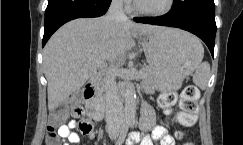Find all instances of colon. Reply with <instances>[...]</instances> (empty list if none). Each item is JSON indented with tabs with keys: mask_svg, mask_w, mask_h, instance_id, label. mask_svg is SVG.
<instances>
[{
	"mask_svg": "<svg viewBox=\"0 0 243 145\" xmlns=\"http://www.w3.org/2000/svg\"><path fill=\"white\" fill-rule=\"evenodd\" d=\"M199 98V90L193 85H189L183 89L180 95V111L175 116V122L184 127H190L196 122L197 101ZM176 101V95L168 92L161 95L159 99L160 106L170 113ZM83 108L79 105L76 95H70L65 102L59 104L50 115L49 125L46 132V145H61L58 138V127L62 121L72 114L75 118L83 115ZM79 130L83 134H87L92 130V123L88 120H81ZM178 138H183L184 133L178 132ZM183 145H193L186 143Z\"/></svg>",
	"mask_w": 243,
	"mask_h": 145,
	"instance_id": "obj_1",
	"label": "colon"
}]
</instances>
